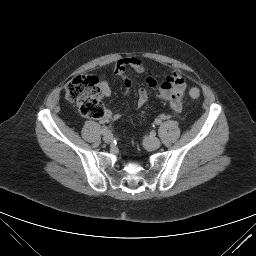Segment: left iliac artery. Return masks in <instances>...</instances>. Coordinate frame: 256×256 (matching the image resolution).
<instances>
[{
  "label": "left iliac artery",
  "instance_id": "obj_1",
  "mask_svg": "<svg viewBox=\"0 0 256 256\" xmlns=\"http://www.w3.org/2000/svg\"><path fill=\"white\" fill-rule=\"evenodd\" d=\"M155 124H156V125L161 124V120H160V119H156V120H155Z\"/></svg>",
  "mask_w": 256,
  "mask_h": 256
}]
</instances>
